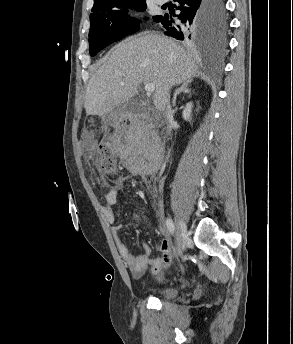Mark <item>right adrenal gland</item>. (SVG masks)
<instances>
[{
  "label": "right adrenal gland",
  "instance_id": "obj_1",
  "mask_svg": "<svg viewBox=\"0 0 293 344\" xmlns=\"http://www.w3.org/2000/svg\"><path fill=\"white\" fill-rule=\"evenodd\" d=\"M191 83V81L185 82L183 83L174 93V97H173V101H172V105L173 107L176 106V99L177 96L181 93H190L191 90L188 88L189 84Z\"/></svg>",
  "mask_w": 293,
  "mask_h": 344
}]
</instances>
